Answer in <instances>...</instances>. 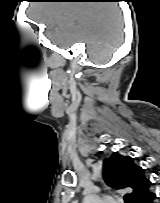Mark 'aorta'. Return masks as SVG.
<instances>
[{"label": "aorta", "instance_id": "762f6f07", "mask_svg": "<svg viewBox=\"0 0 160 203\" xmlns=\"http://www.w3.org/2000/svg\"><path fill=\"white\" fill-rule=\"evenodd\" d=\"M83 203H101V200L96 195H88L85 197Z\"/></svg>", "mask_w": 160, "mask_h": 203}]
</instances>
